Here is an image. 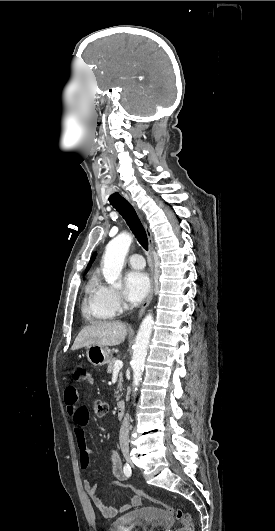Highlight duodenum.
<instances>
[{
  "label": "duodenum",
  "mask_w": 275,
  "mask_h": 531,
  "mask_svg": "<svg viewBox=\"0 0 275 531\" xmlns=\"http://www.w3.org/2000/svg\"><path fill=\"white\" fill-rule=\"evenodd\" d=\"M116 411L119 417H123L126 411V402L124 400H120L117 403Z\"/></svg>",
  "instance_id": "duodenum-1"
}]
</instances>
